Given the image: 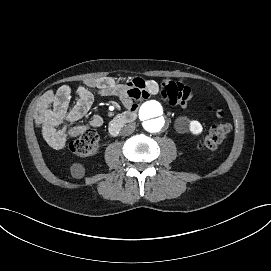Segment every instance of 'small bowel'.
I'll return each instance as SVG.
<instances>
[{"label":"small bowel","instance_id":"c3829d8e","mask_svg":"<svg viewBox=\"0 0 271 271\" xmlns=\"http://www.w3.org/2000/svg\"><path fill=\"white\" fill-rule=\"evenodd\" d=\"M93 90L98 95H115L125 107L131 109L135 103L157 95L169 105L185 108L193 96L192 89L182 81L164 79L157 82L139 77L118 80L105 76L86 79L77 88V101L70 107L72 91L68 85H63L55 91L45 92L36 105V124L51 147L63 149L69 138L102 125V117L94 114L87 124L71 126L90 110L94 101Z\"/></svg>","mask_w":271,"mask_h":271}]
</instances>
